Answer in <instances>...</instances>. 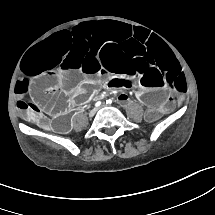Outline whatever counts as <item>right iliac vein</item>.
<instances>
[{"label": "right iliac vein", "instance_id": "right-iliac-vein-1", "mask_svg": "<svg viewBox=\"0 0 215 215\" xmlns=\"http://www.w3.org/2000/svg\"><path fill=\"white\" fill-rule=\"evenodd\" d=\"M95 110L93 109V110H91L90 112H89V117H93L94 116V114H95Z\"/></svg>", "mask_w": 215, "mask_h": 215}]
</instances>
